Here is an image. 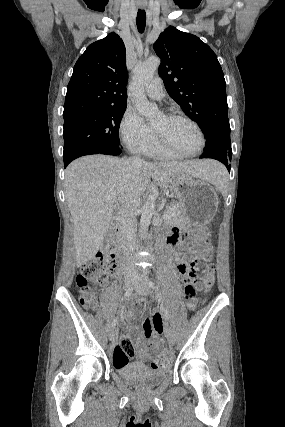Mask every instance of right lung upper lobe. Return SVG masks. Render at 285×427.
Listing matches in <instances>:
<instances>
[{
    "mask_svg": "<svg viewBox=\"0 0 285 427\" xmlns=\"http://www.w3.org/2000/svg\"><path fill=\"white\" fill-rule=\"evenodd\" d=\"M125 46L115 33L89 45L74 66L63 117L127 106Z\"/></svg>",
    "mask_w": 285,
    "mask_h": 427,
    "instance_id": "cb5924a9",
    "label": "right lung upper lobe"
}]
</instances>
